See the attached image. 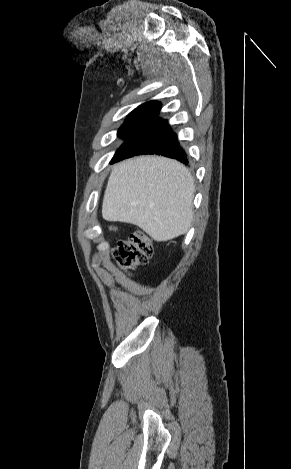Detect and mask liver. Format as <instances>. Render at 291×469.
<instances>
[{"mask_svg":"<svg viewBox=\"0 0 291 469\" xmlns=\"http://www.w3.org/2000/svg\"><path fill=\"white\" fill-rule=\"evenodd\" d=\"M194 193V179L179 162L159 156L131 158L113 167L102 216L136 225L164 242L189 230Z\"/></svg>","mask_w":291,"mask_h":469,"instance_id":"1","label":"liver"}]
</instances>
